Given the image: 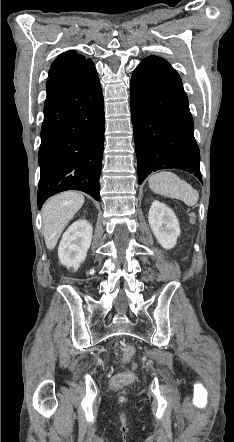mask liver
I'll return each instance as SVG.
<instances>
[{"label": "liver", "instance_id": "6515ba94", "mask_svg": "<svg viewBox=\"0 0 234 442\" xmlns=\"http://www.w3.org/2000/svg\"><path fill=\"white\" fill-rule=\"evenodd\" d=\"M84 196L68 191L50 198L43 206V235L49 250L55 248L63 230L84 204Z\"/></svg>", "mask_w": 234, "mask_h": 442}]
</instances>
